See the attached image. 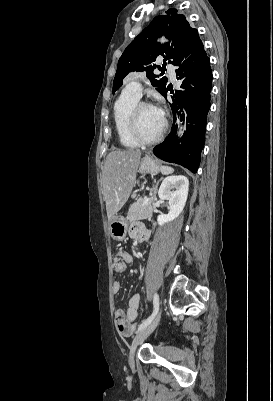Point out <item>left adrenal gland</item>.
I'll list each match as a JSON object with an SVG mask.
<instances>
[{
	"label": "left adrenal gland",
	"instance_id": "obj_1",
	"mask_svg": "<svg viewBox=\"0 0 273 401\" xmlns=\"http://www.w3.org/2000/svg\"><path fill=\"white\" fill-rule=\"evenodd\" d=\"M160 180H162V178H159V180H157V182H155V186H153V188H154L153 196H156V194H157L158 184H159Z\"/></svg>",
	"mask_w": 273,
	"mask_h": 401
}]
</instances>
